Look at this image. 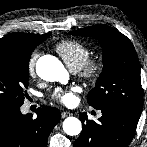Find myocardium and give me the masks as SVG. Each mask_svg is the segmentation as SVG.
<instances>
[{
	"label": "myocardium",
	"instance_id": "obj_1",
	"mask_svg": "<svg viewBox=\"0 0 147 147\" xmlns=\"http://www.w3.org/2000/svg\"><path fill=\"white\" fill-rule=\"evenodd\" d=\"M104 68V63L101 57H89L83 66L79 69L80 75L90 81L97 80Z\"/></svg>",
	"mask_w": 147,
	"mask_h": 147
}]
</instances>
